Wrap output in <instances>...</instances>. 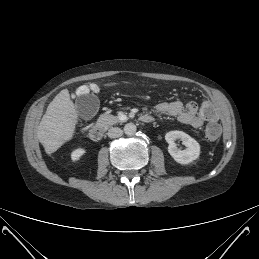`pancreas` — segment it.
<instances>
[{
  "label": "pancreas",
  "instance_id": "cf45deb5",
  "mask_svg": "<svg viewBox=\"0 0 259 259\" xmlns=\"http://www.w3.org/2000/svg\"><path fill=\"white\" fill-rule=\"evenodd\" d=\"M119 122L120 120L118 119V117L108 113H104V114H101L100 117L98 118L97 125L103 128H108L109 126H112Z\"/></svg>",
  "mask_w": 259,
  "mask_h": 259
}]
</instances>
